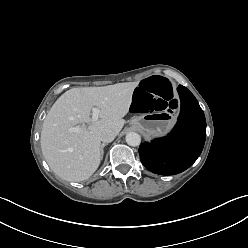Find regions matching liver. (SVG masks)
I'll return each instance as SVG.
<instances>
[{
	"label": "liver",
	"instance_id": "obj_1",
	"mask_svg": "<svg viewBox=\"0 0 248 248\" xmlns=\"http://www.w3.org/2000/svg\"><path fill=\"white\" fill-rule=\"evenodd\" d=\"M138 82L103 87L72 88L62 94L48 112L41 131V149L52 171L66 181L87 180L101 162L98 133L105 128L122 130ZM100 119L91 121V111ZM79 126V132L69 128Z\"/></svg>",
	"mask_w": 248,
	"mask_h": 248
}]
</instances>
